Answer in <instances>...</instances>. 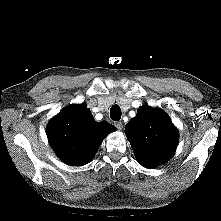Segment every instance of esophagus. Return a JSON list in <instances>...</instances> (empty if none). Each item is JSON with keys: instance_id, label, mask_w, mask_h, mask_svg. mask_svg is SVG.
<instances>
[{"instance_id": "esophagus-1", "label": "esophagus", "mask_w": 221, "mask_h": 221, "mask_svg": "<svg viewBox=\"0 0 221 221\" xmlns=\"http://www.w3.org/2000/svg\"><path fill=\"white\" fill-rule=\"evenodd\" d=\"M115 126L118 130H122V128H123L122 122H115Z\"/></svg>"}]
</instances>
